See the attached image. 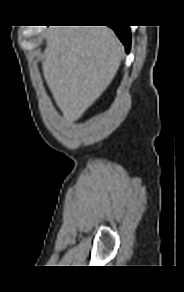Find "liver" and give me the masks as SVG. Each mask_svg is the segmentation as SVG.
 <instances>
[{
	"mask_svg": "<svg viewBox=\"0 0 184 292\" xmlns=\"http://www.w3.org/2000/svg\"><path fill=\"white\" fill-rule=\"evenodd\" d=\"M46 42L44 78L64 117L76 121L115 77L122 44L106 26H53Z\"/></svg>",
	"mask_w": 184,
	"mask_h": 292,
	"instance_id": "obj_1",
	"label": "liver"
}]
</instances>
